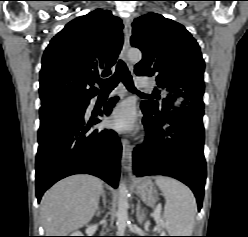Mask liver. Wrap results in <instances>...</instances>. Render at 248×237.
Returning a JSON list of instances; mask_svg holds the SVG:
<instances>
[{"label": "liver", "instance_id": "6515ba94", "mask_svg": "<svg viewBox=\"0 0 248 237\" xmlns=\"http://www.w3.org/2000/svg\"><path fill=\"white\" fill-rule=\"evenodd\" d=\"M102 190V181L91 175L70 176L52 186L41 200L46 236H66L89 223Z\"/></svg>", "mask_w": 248, "mask_h": 237}]
</instances>
